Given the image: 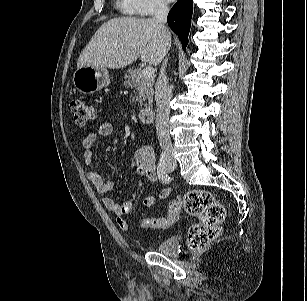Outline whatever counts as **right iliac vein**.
Wrapping results in <instances>:
<instances>
[{
	"instance_id": "1",
	"label": "right iliac vein",
	"mask_w": 307,
	"mask_h": 301,
	"mask_svg": "<svg viewBox=\"0 0 307 301\" xmlns=\"http://www.w3.org/2000/svg\"><path fill=\"white\" fill-rule=\"evenodd\" d=\"M166 167L168 168H175L176 167V163L174 161H169L166 163Z\"/></svg>"
}]
</instances>
